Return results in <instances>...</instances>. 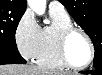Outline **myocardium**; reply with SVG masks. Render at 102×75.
<instances>
[{
	"label": "myocardium",
	"mask_w": 102,
	"mask_h": 75,
	"mask_svg": "<svg viewBox=\"0 0 102 75\" xmlns=\"http://www.w3.org/2000/svg\"><path fill=\"white\" fill-rule=\"evenodd\" d=\"M76 32L81 33L85 37L90 49L89 60L84 65L80 66L75 65L71 61L67 53V42L69 38ZM56 46H57L58 56L66 66L75 67V68H84L91 62L94 56V44L92 42V39L85 30L75 25L67 26L59 32Z\"/></svg>",
	"instance_id": "myocardium-1"
}]
</instances>
